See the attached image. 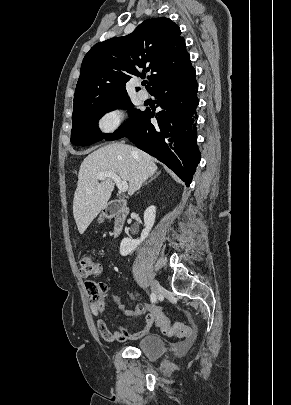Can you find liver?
Instances as JSON below:
<instances>
[{
  "label": "liver",
  "mask_w": 291,
  "mask_h": 405,
  "mask_svg": "<svg viewBox=\"0 0 291 405\" xmlns=\"http://www.w3.org/2000/svg\"><path fill=\"white\" fill-rule=\"evenodd\" d=\"M157 170L154 158L126 144L111 143L89 154L82 162L73 199V215L80 234L106 206L114 190L111 178L98 182L97 174L114 172L128 182L133 195Z\"/></svg>",
  "instance_id": "obj_1"
}]
</instances>
